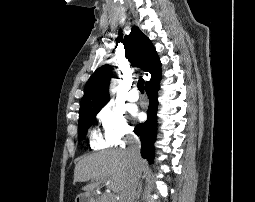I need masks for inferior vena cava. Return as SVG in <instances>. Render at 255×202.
Returning a JSON list of instances; mask_svg holds the SVG:
<instances>
[{
	"instance_id": "inferior-vena-cava-1",
	"label": "inferior vena cava",
	"mask_w": 255,
	"mask_h": 202,
	"mask_svg": "<svg viewBox=\"0 0 255 202\" xmlns=\"http://www.w3.org/2000/svg\"><path fill=\"white\" fill-rule=\"evenodd\" d=\"M129 146L126 149V153L129 156L132 169L131 175L128 183L126 184L125 188L120 193V200L119 202H134V199L138 192L141 190L140 184V176H141V168H140V148L141 143L137 136L131 133L128 137Z\"/></svg>"
}]
</instances>
